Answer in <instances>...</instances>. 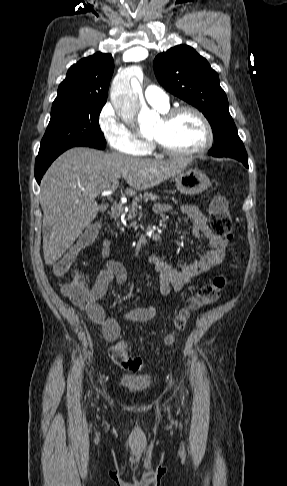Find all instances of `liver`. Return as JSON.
Listing matches in <instances>:
<instances>
[{"instance_id":"liver-1","label":"liver","mask_w":287,"mask_h":486,"mask_svg":"<svg viewBox=\"0 0 287 486\" xmlns=\"http://www.w3.org/2000/svg\"><path fill=\"white\" fill-rule=\"evenodd\" d=\"M189 159L165 161L72 148L60 155L41 181L43 252L47 265L59 260L96 218V197L122 177L129 196L152 188L182 172Z\"/></svg>"}]
</instances>
